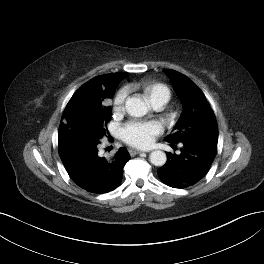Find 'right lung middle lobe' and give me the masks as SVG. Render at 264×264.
<instances>
[{
    "instance_id": "obj_1",
    "label": "right lung middle lobe",
    "mask_w": 264,
    "mask_h": 264,
    "mask_svg": "<svg viewBox=\"0 0 264 264\" xmlns=\"http://www.w3.org/2000/svg\"><path fill=\"white\" fill-rule=\"evenodd\" d=\"M113 92L103 96L94 105L74 111L59 128L58 139L68 140L74 137L101 139L108 134L107 123L111 119V107L102 105L105 98H110Z\"/></svg>"
}]
</instances>
